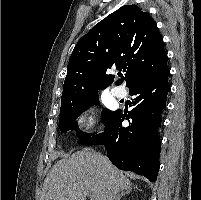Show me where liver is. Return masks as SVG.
<instances>
[{"mask_svg":"<svg viewBox=\"0 0 201 200\" xmlns=\"http://www.w3.org/2000/svg\"><path fill=\"white\" fill-rule=\"evenodd\" d=\"M131 182L108 158L85 148L59 160L46 176L42 200H115Z\"/></svg>","mask_w":201,"mask_h":200,"instance_id":"obj_1","label":"liver"}]
</instances>
